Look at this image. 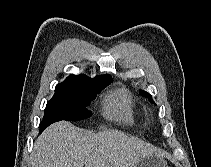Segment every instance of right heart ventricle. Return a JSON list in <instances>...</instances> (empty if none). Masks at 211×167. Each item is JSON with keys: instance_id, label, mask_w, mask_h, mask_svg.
I'll use <instances>...</instances> for the list:
<instances>
[{"instance_id": "1", "label": "right heart ventricle", "mask_w": 211, "mask_h": 167, "mask_svg": "<svg viewBox=\"0 0 211 167\" xmlns=\"http://www.w3.org/2000/svg\"><path fill=\"white\" fill-rule=\"evenodd\" d=\"M103 111L110 119L132 122L136 111L135 102L126 89H118L105 96Z\"/></svg>"}]
</instances>
